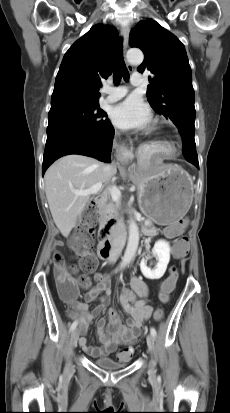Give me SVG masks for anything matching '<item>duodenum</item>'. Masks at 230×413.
<instances>
[{
  "label": "duodenum",
  "mask_w": 230,
  "mask_h": 413,
  "mask_svg": "<svg viewBox=\"0 0 230 413\" xmlns=\"http://www.w3.org/2000/svg\"><path fill=\"white\" fill-rule=\"evenodd\" d=\"M106 200V193L103 192L95 199V204L101 206ZM118 231V225L112 220L108 221L102 230L101 241L98 246V255L101 259L106 260L112 257L116 251L115 237Z\"/></svg>",
  "instance_id": "duodenum-1"
}]
</instances>
